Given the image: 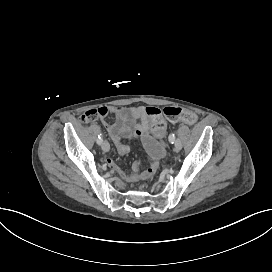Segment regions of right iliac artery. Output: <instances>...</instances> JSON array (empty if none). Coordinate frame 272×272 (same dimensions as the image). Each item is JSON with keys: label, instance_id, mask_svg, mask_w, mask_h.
I'll return each mask as SVG.
<instances>
[{"label": "right iliac artery", "instance_id": "1", "mask_svg": "<svg viewBox=\"0 0 272 272\" xmlns=\"http://www.w3.org/2000/svg\"><path fill=\"white\" fill-rule=\"evenodd\" d=\"M102 134L98 135L97 143L100 145L102 143Z\"/></svg>", "mask_w": 272, "mask_h": 272}]
</instances>
